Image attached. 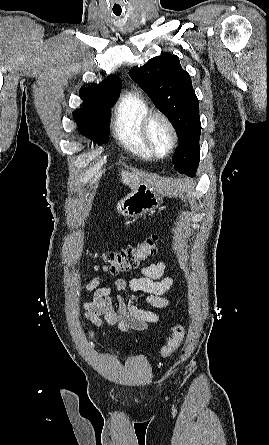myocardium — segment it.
<instances>
[{
	"label": "myocardium",
	"mask_w": 269,
	"mask_h": 445,
	"mask_svg": "<svg viewBox=\"0 0 269 445\" xmlns=\"http://www.w3.org/2000/svg\"><path fill=\"white\" fill-rule=\"evenodd\" d=\"M155 119L162 120L166 124V126L168 127V129L170 130V133H171V146L165 154L158 153L150 140L149 129H150V125H151L152 121ZM141 135H142L143 141H144L146 147L148 148V150L151 152V154L154 157L159 158V159L168 157L175 150L177 143H178V133H177L175 124L173 123V121L167 114H165L164 112H161V111H150L144 117L142 124H141Z\"/></svg>",
	"instance_id": "1"
}]
</instances>
